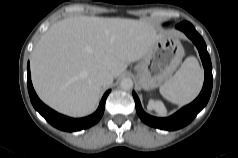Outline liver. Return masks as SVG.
<instances>
[{
    "label": "liver",
    "mask_w": 238,
    "mask_h": 158,
    "mask_svg": "<svg viewBox=\"0 0 238 158\" xmlns=\"http://www.w3.org/2000/svg\"><path fill=\"white\" fill-rule=\"evenodd\" d=\"M162 36L153 24L125 18L80 16L53 24L37 42L31 74L40 99L56 111L83 117L100 100L101 70L118 77Z\"/></svg>",
    "instance_id": "6515ba94"
}]
</instances>
